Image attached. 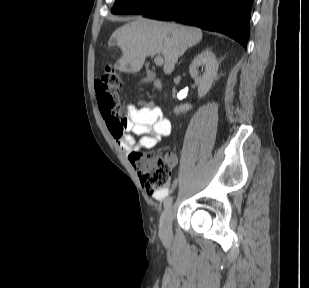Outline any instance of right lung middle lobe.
<instances>
[{"label": "right lung middle lobe", "mask_w": 309, "mask_h": 288, "mask_svg": "<svg viewBox=\"0 0 309 288\" xmlns=\"http://www.w3.org/2000/svg\"><path fill=\"white\" fill-rule=\"evenodd\" d=\"M165 0H116L112 8L113 14H142Z\"/></svg>", "instance_id": "obj_1"}]
</instances>
